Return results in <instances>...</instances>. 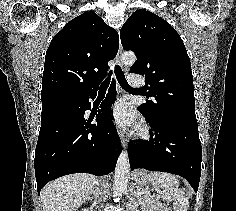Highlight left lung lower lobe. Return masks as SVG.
Here are the masks:
<instances>
[{
    "label": "left lung lower lobe",
    "mask_w": 236,
    "mask_h": 211,
    "mask_svg": "<svg viewBox=\"0 0 236 211\" xmlns=\"http://www.w3.org/2000/svg\"><path fill=\"white\" fill-rule=\"evenodd\" d=\"M139 109V108H138ZM151 140L146 145H128L131 170L144 168L184 177L197 192L201 176L202 147L197 122L149 118Z\"/></svg>",
    "instance_id": "1"
}]
</instances>
